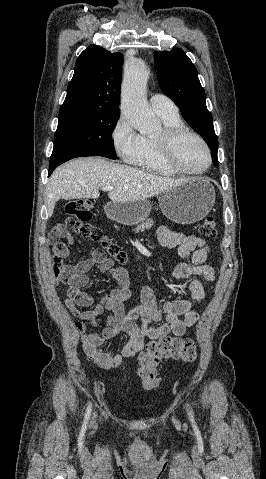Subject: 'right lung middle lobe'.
<instances>
[{
  "instance_id": "dd1d6c3e",
  "label": "right lung middle lobe",
  "mask_w": 266,
  "mask_h": 479,
  "mask_svg": "<svg viewBox=\"0 0 266 479\" xmlns=\"http://www.w3.org/2000/svg\"><path fill=\"white\" fill-rule=\"evenodd\" d=\"M120 114L67 113L59 115L52 154L116 159L112 131Z\"/></svg>"
}]
</instances>
